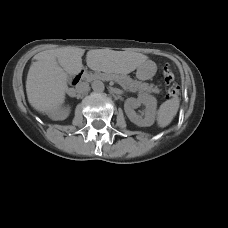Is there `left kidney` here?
I'll return each instance as SVG.
<instances>
[{
  "label": "left kidney",
  "mask_w": 228,
  "mask_h": 228,
  "mask_svg": "<svg viewBox=\"0 0 228 228\" xmlns=\"http://www.w3.org/2000/svg\"><path fill=\"white\" fill-rule=\"evenodd\" d=\"M143 104L145 106L144 116L141 117L136 114L134 109ZM157 101L147 94L140 95L136 98H128L124 103V110L131 122L141 127H148L153 125L155 121Z\"/></svg>",
  "instance_id": "left-kidney-1"
}]
</instances>
